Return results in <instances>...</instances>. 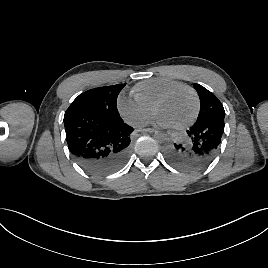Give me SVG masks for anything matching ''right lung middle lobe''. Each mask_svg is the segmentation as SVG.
<instances>
[{"label":"right lung middle lobe","mask_w":268,"mask_h":268,"mask_svg":"<svg viewBox=\"0 0 268 268\" xmlns=\"http://www.w3.org/2000/svg\"><path fill=\"white\" fill-rule=\"evenodd\" d=\"M125 84L94 88L80 94L66 110L64 118L80 111H93L107 116H118L117 97Z\"/></svg>","instance_id":"1"}]
</instances>
